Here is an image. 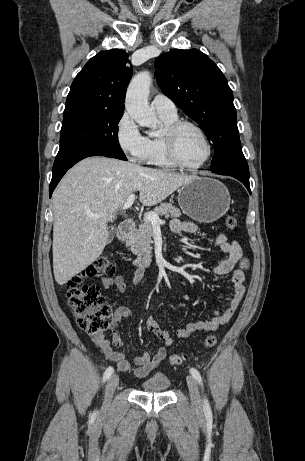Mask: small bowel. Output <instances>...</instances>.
<instances>
[{
  "label": "small bowel",
  "mask_w": 305,
  "mask_h": 461,
  "mask_svg": "<svg viewBox=\"0 0 305 461\" xmlns=\"http://www.w3.org/2000/svg\"><path fill=\"white\" fill-rule=\"evenodd\" d=\"M171 230L174 233L194 234L197 231V226L190 221L173 219L171 221ZM216 245L227 256L211 269V273L216 276L231 274L233 293L227 299V306L223 310L215 311L208 319L190 321L186 327L176 329V336L178 338H186L194 332L215 331L231 319L243 299L245 293V270L249 267V261L244 257L240 244L235 240L230 241L225 234H219L216 237ZM237 264L239 267H237ZM141 277L142 271L138 270L134 275V282H139ZM101 284L106 289L115 287L121 294L125 293L127 289L122 276L103 278ZM160 308L161 305L158 306L157 310ZM130 314L131 311L127 306L116 308L109 326L111 339L100 334L96 335L94 340L106 358L113 362L118 370L132 372L139 378H146L166 358V348L173 344L174 339L166 330L160 327L155 317L150 315L146 319V327L151 333L157 336L162 342V346L152 357L148 352H143L132 359H127L123 353L115 351L112 347H121L123 345L118 326Z\"/></svg>",
  "instance_id": "1"
}]
</instances>
